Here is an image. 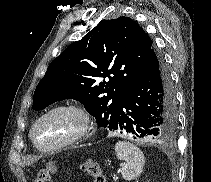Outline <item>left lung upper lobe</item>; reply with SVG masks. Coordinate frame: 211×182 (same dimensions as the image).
Instances as JSON below:
<instances>
[{
  "mask_svg": "<svg viewBox=\"0 0 211 182\" xmlns=\"http://www.w3.org/2000/svg\"><path fill=\"white\" fill-rule=\"evenodd\" d=\"M152 48L151 38L131 18L101 20L51 62L35 89L32 109L75 99L99 127L115 129L124 95ZM102 77L109 80L101 82Z\"/></svg>",
  "mask_w": 211,
  "mask_h": 182,
  "instance_id": "5c2ea615",
  "label": "left lung upper lobe"
}]
</instances>
